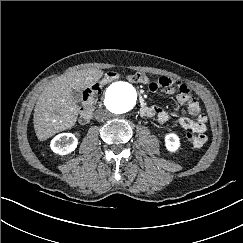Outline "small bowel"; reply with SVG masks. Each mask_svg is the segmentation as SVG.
Masks as SVG:
<instances>
[{"mask_svg":"<svg viewBox=\"0 0 243 243\" xmlns=\"http://www.w3.org/2000/svg\"><path fill=\"white\" fill-rule=\"evenodd\" d=\"M148 87L151 92L162 91L177 94V101L180 104L186 105L189 114L194 117V119L180 117L178 118V123L182 128L196 133L199 140L194 146L196 148L202 147L207 141L205 132L207 130L208 119L201 113L200 105L188 87L168 77H161L157 81L151 82ZM141 112L147 117H156L160 123H165L170 118L168 112L157 106H148L146 110H141Z\"/></svg>","mask_w":243,"mask_h":243,"instance_id":"small-bowel-1","label":"small bowel"}]
</instances>
